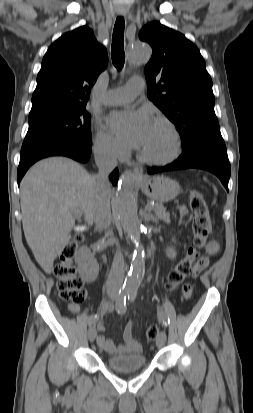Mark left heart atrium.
I'll return each instance as SVG.
<instances>
[{"label": "left heart atrium", "instance_id": "left-heart-atrium-1", "mask_svg": "<svg viewBox=\"0 0 253 413\" xmlns=\"http://www.w3.org/2000/svg\"><path fill=\"white\" fill-rule=\"evenodd\" d=\"M109 123L120 138L138 148L143 145L152 124L144 111L113 113Z\"/></svg>", "mask_w": 253, "mask_h": 413}]
</instances>
